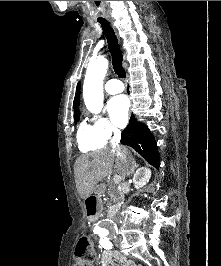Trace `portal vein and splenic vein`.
Masks as SVG:
<instances>
[{"instance_id":"obj_1","label":"portal vein and splenic vein","mask_w":221,"mask_h":266,"mask_svg":"<svg viewBox=\"0 0 221 266\" xmlns=\"http://www.w3.org/2000/svg\"><path fill=\"white\" fill-rule=\"evenodd\" d=\"M113 181H114V183L119 184L120 181H121V177H120L119 175H115V176L113 177Z\"/></svg>"}]
</instances>
